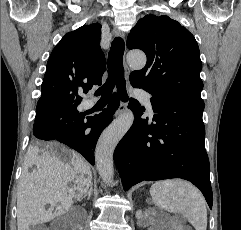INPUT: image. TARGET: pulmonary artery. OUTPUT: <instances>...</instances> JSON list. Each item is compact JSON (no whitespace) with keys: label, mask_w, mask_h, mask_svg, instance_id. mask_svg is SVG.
Returning <instances> with one entry per match:
<instances>
[{"label":"pulmonary artery","mask_w":241,"mask_h":230,"mask_svg":"<svg viewBox=\"0 0 241 230\" xmlns=\"http://www.w3.org/2000/svg\"><path fill=\"white\" fill-rule=\"evenodd\" d=\"M138 98L144 102V104L146 105L148 111L150 112L151 115H153V108H152V103H151V95L148 94L147 92H144V91H141V90H138L136 92ZM94 105L93 101L91 100H87L85 103H84V106L86 108H90Z\"/></svg>","instance_id":"e3ab8cb5"}]
</instances>
